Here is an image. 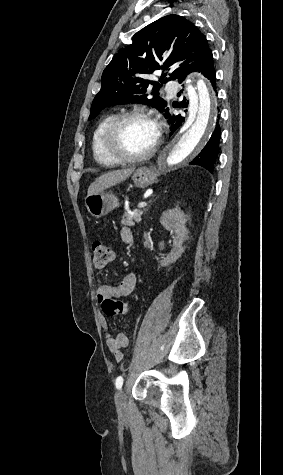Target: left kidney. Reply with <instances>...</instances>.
Segmentation results:
<instances>
[{"label": "left kidney", "instance_id": "obj_1", "mask_svg": "<svg viewBox=\"0 0 283 475\" xmlns=\"http://www.w3.org/2000/svg\"><path fill=\"white\" fill-rule=\"evenodd\" d=\"M188 218L178 206L173 208V210H167V212H163L160 218V224L172 232L174 236L173 243L171 245V251L168 253L167 257L161 259L159 261L160 267H166V265H170V263H174L178 257H181L184 249H183V241L189 239V232L185 226Z\"/></svg>", "mask_w": 283, "mask_h": 475}]
</instances>
